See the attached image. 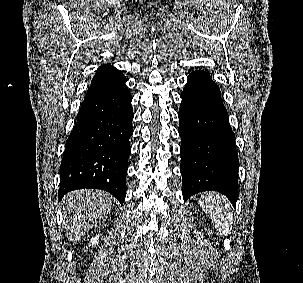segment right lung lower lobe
Instances as JSON below:
<instances>
[{
  "label": "right lung lower lobe",
  "instance_id": "98d812e1",
  "mask_svg": "<svg viewBox=\"0 0 303 283\" xmlns=\"http://www.w3.org/2000/svg\"><path fill=\"white\" fill-rule=\"evenodd\" d=\"M126 81L121 72L88 88L66 141L60 198L73 190L94 188L124 202L134 117Z\"/></svg>",
  "mask_w": 303,
  "mask_h": 283
}]
</instances>
